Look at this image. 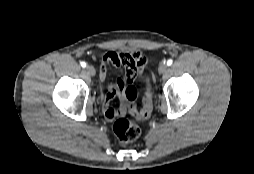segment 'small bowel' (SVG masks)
I'll list each match as a JSON object with an SVG mask.
<instances>
[{
  "instance_id": "obj_1",
  "label": "small bowel",
  "mask_w": 254,
  "mask_h": 174,
  "mask_svg": "<svg viewBox=\"0 0 254 174\" xmlns=\"http://www.w3.org/2000/svg\"><path fill=\"white\" fill-rule=\"evenodd\" d=\"M146 61V56L136 50L129 52H109L103 56L99 74L101 80L107 78L108 70L111 66L123 72L122 75H117L112 79L108 92L103 98L102 107L107 119L111 120L117 116L116 109L110 107V103L117 97L123 99L125 82H131L136 79L143 71Z\"/></svg>"
}]
</instances>
